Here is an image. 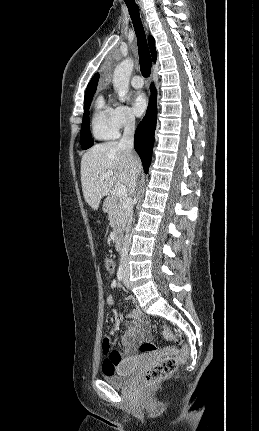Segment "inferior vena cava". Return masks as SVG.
<instances>
[{
  "mask_svg": "<svg viewBox=\"0 0 259 431\" xmlns=\"http://www.w3.org/2000/svg\"><path fill=\"white\" fill-rule=\"evenodd\" d=\"M134 133H135V118L133 116H129L125 122L124 132L119 142V146L127 151L130 159H132V154H133ZM136 179H137V175H134V178L132 180L131 187H130L131 193L135 191ZM126 219H127L126 235H125L123 249L121 253V261L125 266H127L128 250H129V244H130L129 231L133 220V212H132L131 204L128 206L126 210Z\"/></svg>",
  "mask_w": 259,
  "mask_h": 431,
  "instance_id": "1",
  "label": "inferior vena cava"
}]
</instances>
